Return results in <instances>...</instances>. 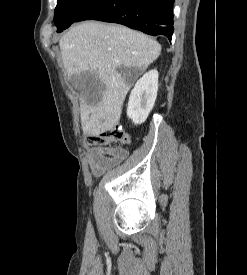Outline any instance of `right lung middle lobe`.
I'll list each match as a JSON object with an SVG mask.
<instances>
[{"instance_id": "1", "label": "right lung middle lobe", "mask_w": 247, "mask_h": 275, "mask_svg": "<svg viewBox=\"0 0 247 275\" xmlns=\"http://www.w3.org/2000/svg\"><path fill=\"white\" fill-rule=\"evenodd\" d=\"M98 0H58L55 8L54 23L60 33L71 24L90 6Z\"/></svg>"}]
</instances>
